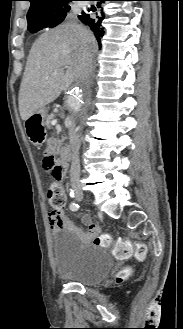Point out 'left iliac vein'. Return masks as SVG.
Here are the masks:
<instances>
[{"label": "left iliac vein", "mask_w": 183, "mask_h": 329, "mask_svg": "<svg viewBox=\"0 0 183 329\" xmlns=\"http://www.w3.org/2000/svg\"><path fill=\"white\" fill-rule=\"evenodd\" d=\"M78 200H82V198H78Z\"/></svg>", "instance_id": "4c4485c4"}]
</instances>
